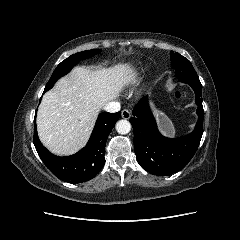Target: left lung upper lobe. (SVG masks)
Wrapping results in <instances>:
<instances>
[{
	"instance_id": "5c2ea615",
	"label": "left lung upper lobe",
	"mask_w": 240,
	"mask_h": 240,
	"mask_svg": "<svg viewBox=\"0 0 240 240\" xmlns=\"http://www.w3.org/2000/svg\"><path fill=\"white\" fill-rule=\"evenodd\" d=\"M172 66L179 80H199V77L190 61L179 53L171 52Z\"/></svg>"
}]
</instances>
